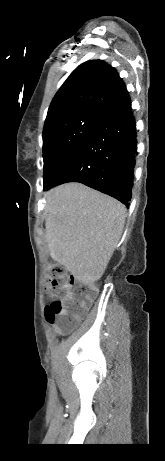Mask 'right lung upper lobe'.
Instances as JSON below:
<instances>
[{
	"label": "right lung upper lobe",
	"instance_id": "right-lung-upper-lobe-1",
	"mask_svg": "<svg viewBox=\"0 0 165 461\" xmlns=\"http://www.w3.org/2000/svg\"><path fill=\"white\" fill-rule=\"evenodd\" d=\"M130 105L129 93L117 71L102 60L87 61L70 74L54 96L44 127L57 119L81 115L104 120Z\"/></svg>",
	"mask_w": 165,
	"mask_h": 461
}]
</instances>
